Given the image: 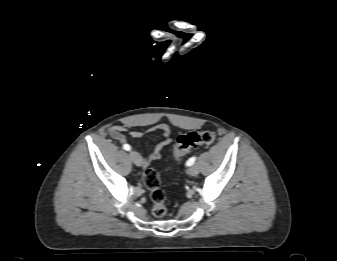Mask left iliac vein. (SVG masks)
Wrapping results in <instances>:
<instances>
[{"mask_svg": "<svg viewBox=\"0 0 337 261\" xmlns=\"http://www.w3.org/2000/svg\"><path fill=\"white\" fill-rule=\"evenodd\" d=\"M199 173V168L196 165H193L189 168V174L192 176H196Z\"/></svg>", "mask_w": 337, "mask_h": 261, "instance_id": "4c4485c4", "label": "left iliac vein"}]
</instances>
